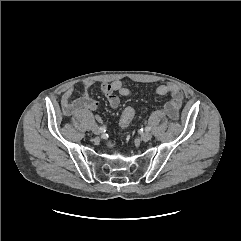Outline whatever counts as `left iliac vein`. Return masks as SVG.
<instances>
[{"label":"left iliac vein","mask_w":241,"mask_h":241,"mask_svg":"<svg viewBox=\"0 0 241 241\" xmlns=\"http://www.w3.org/2000/svg\"><path fill=\"white\" fill-rule=\"evenodd\" d=\"M151 138H152V134L149 133V132H144V133L141 135V140H142V141H145V142L151 140Z\"/></svg>","instance_id":"1"}]
</instances>
